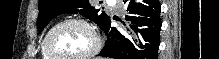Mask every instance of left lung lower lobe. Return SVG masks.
I'll return each instance as SVG.
<instances>
[{
  "label": "left lung lower lobe",
  "mask_w": 219,
  "mask_h": 59,
  "mask_svg": "<svg viewBox=\"0 0 219 59\" xmlns=\"http://www.w3.org/2000/svg\"><path fill=\"white\" fill-rule=\"evenodd\" d=\"M128 15L124 28L102 27L107 40L98 56L112 59H157L161 30L158 0H124ZM109 31V33H108Z\"/></svg>",
  "instance_id": "0a47b994"
}]
</instances>
